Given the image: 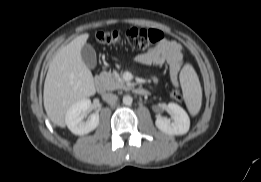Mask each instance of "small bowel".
I'll return each instance as SVG.
<instances>
[{
	"label": "small bowel",
	"mask_w": 261,
	"mask_h": 182,
	"mask_svg": "<svg viewBox=\"0 0 261 182\" xmlns=\"http://www.w3.org/2000/svg\"><path fill=\"white\" fill-rule=\"evenodd\" d=\"M136 61L142 65H167L172 84L174 86L179 85V72L183 65V53L182 46L175 40H162L158 45L139 53L136 56Z\"/></svg>",
	"instance_id": "obj_1"
}]
</instances>
